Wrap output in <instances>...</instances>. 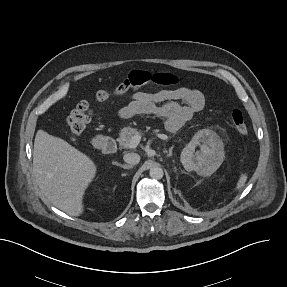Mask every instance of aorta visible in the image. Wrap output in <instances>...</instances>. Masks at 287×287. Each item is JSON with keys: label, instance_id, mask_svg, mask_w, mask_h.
<instances>
[{"label": "aorta", "instance_id": "obj_1", "mask_svg": "<svg viewBox=\"0 0 287 287\" xmlns=\"http://www.w3.org/2000/svg\"><path fill=\"white\" fill-rule=\"evenodd\" d=\"M149 175L152 179H156L159 180L163 177L164 173H163V169L161 167L158 166H154L150 169L149 171Z\"/></svg>", "mask_w": 287, "mask_h": 287}]
</instances>
